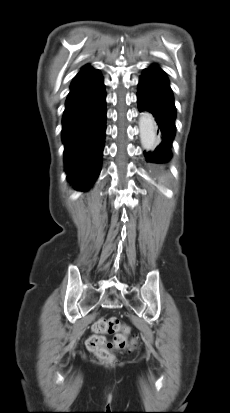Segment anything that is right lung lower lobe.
I'll return each instance as SVG.
<instances>
[{
  "label": "right lung lower lobe",
  "instance_id": "98d812e1",
  "mask_svg": "<svg viewBox=\"0 0 230 413\" xmlns=\"http://www.w3.org/2000/svg\"><path fill=\"white\" fill-rule=\"evenodd\" d=\"M106 92L96 69H82L73 79L62 119V140L68 180L87 190L100 173L105 129Z\"/></svg>",
  "mask_w": 230,
  "mask_h": 413
}]
</instances>
